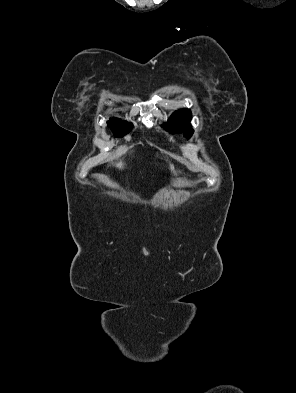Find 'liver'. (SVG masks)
<instances>
[{
    "instance_id": "1",
    "label": "liver",
    "mask_w": 296,
    "mask_h": 393,
    "mask_svg": "<svg viewBox=\"0 0 296 393\" xmlns=\"http://www.w3.org/2000/svg\"><path fill=\"white\" fill-rule=\"evenodd\" d=\"M123 165H124V164H123L122 162H119V163L116 164V166H117L118 168H120V169L123 168ZM171 169H173V165H171Z\"/></svg>"
}]
</instances>
